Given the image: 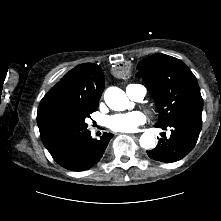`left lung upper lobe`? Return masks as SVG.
<instances>
[{
  "label": "left lung upper lobe",
  "mask_w": 221,
  "mask_h": 221,
  "mask_svg": "<svg viewBox=\"0 0 221 221\" xmlns=\"http://www.w3.org/2000/svg\"><path fill=\"white\" fill-rule=\"evenodd\" d=\"M138 76L147 83L159 108L158 125H166L173 118L192 112H202L197 79L179 59L157 53L142 60Z\"/></svg>",
  "instance_id": "obj_1"
}]
</instances>
